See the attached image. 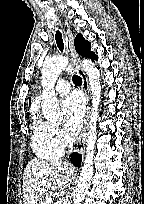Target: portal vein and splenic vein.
Returning a JSON list of instances; mask_svg holds the SVG:
<instances>
[{"label":"portal vein and splenic vein","mask_w":144,"mask_h":204,"mask_svg":"<svg viewBox=\"0 0 144 204\" xmlns=\"http://www.w3.org/2000/svg\"><path fill=\"white\" fill-rule=\"evenodd\" d=\"M44 204H53V199L51 197L47 198Z\"/></svg>","instance_id":"portal-vein-and-splenic-vein-1"}]
</instances>
